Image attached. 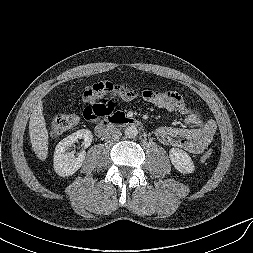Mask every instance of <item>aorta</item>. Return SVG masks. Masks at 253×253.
<instances>
[{"mask_svg": "<svg viewBox=\"0 0 253 253\" xmlns=\"http://www.w3.org/2000/svg\"><path fill=\"white\" fill-rule=\"evenodd\" d=\"M124 134L127 138L133 139L137 136L138 130H137L136 126L130 125V126L125 128Z\"/></svg>", "mask_w": 253, "mask_h": 253, "instance_id": "aorta-1", "label": "aorta"}]
</instances>
